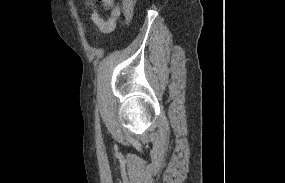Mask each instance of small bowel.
Here are the masks:
<instances>
[{"instance_id": "1", "label": "small bowel", "mask_w": 285, "mask_h": 183, "mask_svg": "<svg viewBox=\"0 0 285 183\" xmlns=\"http://www.w3.org/2000/svg\"><path fill=\"white\" fill-rule=\"evenodd\" d=\"M98 0H85V5L91 9L90 19L96 29L101 33L113 31L121 15V9L115 0H100L102 6L109 10V17L105 18L97 8Z\"/></svg>"}]
</instances>
